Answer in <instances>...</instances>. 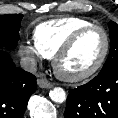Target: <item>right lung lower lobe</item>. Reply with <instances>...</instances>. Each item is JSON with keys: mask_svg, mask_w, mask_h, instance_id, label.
Masks as SVG:
<instances>
[{"mask_svg": "<svg viewBox=\"0 0 118 118\" xmlns=\"http://www.w3.org/2000/svg\"><path fill=\"white\" fill-rule=\"evenodd\" d=\"M36 77L15 66L9 54L0 51V118H23Z\"/></svg>", "mask_w": 118, "mask_h": 118, "instance_id": "right-lung-lower-lobe-1", "label": "right lung lower lobe"}]
</instances>
